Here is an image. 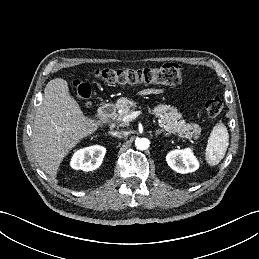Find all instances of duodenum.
I'll list each match as a JSON object with an SVG mask.
<instances>
[{
    "mask_svg": "<svg viewBox=\"0 0 259 259\" xmlns=\"http://www.w3.org/2000/svg\"><path fill=\"white\" fill-rule=\"evenodd\" d=\"M114 108L111 104H104L99 109V117L102 122L108 121L113 116Z\"/></svg>",
    "mask_w": 259,
    "mask_h": 259,
    "instance_id": "410a0bca",
    "label": "duodenum"
}]
</instances>
